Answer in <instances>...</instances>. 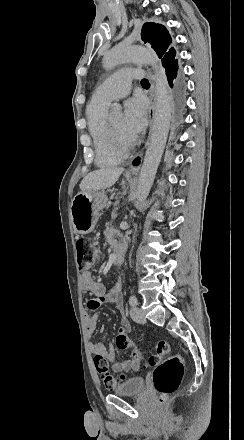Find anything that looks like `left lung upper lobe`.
<instances>
[{
	"mask_svg": "<svg viewBox=\"0 0 244 440\" xmlns=\"http://www.w3.org/2000/svg\"><path fill=\"white\" fill-rule=\"evenodd\" d=\"M141 36L145 43L151 44L159 58L162 59L163 66L175 60L176 51L173 47H169L172 40L164 26L152 22L145 23Z\"/></svg>",
	"mask_w": 244,
	"mask_h": 440,
	"instance_id": "5c2ea615",
	"label": "left lung upper lobe"
}]
</instances>
